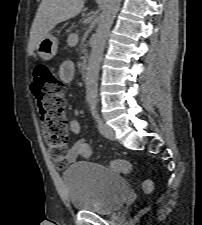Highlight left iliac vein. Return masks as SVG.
<instances>
[{"label": "left iliac vein", "instance_id": "4c4485c4", "mask_svg": "<svg viewBox=\"0 0 202 225\" xmlns=\"http://www.w3.org/2000/svg\"><path fill=\"white\" fill-rule=\"evenodd\" d=\"M98 129L104 137H106L110 140H115V132L113 131V129L110 126H108L104 122H102V121L98 122Z\"/></svg>", "mask_w": 202, "mask_h": 225}]
</instances>
